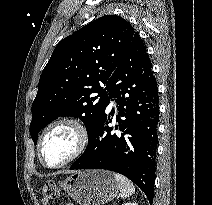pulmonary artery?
<instances>
[{
    "label": "pulmonary artery",
    "mask_w": 212,
    "mask_h": 205,
    "mask_svg": "<svg viewBox=\"0 0 212 205\" xmlns=\"http://www.w3.org/2000/svg\"><path fill=\"white\" fill-rule=\"evenodd\" d=\"M111 106H115V103H114V102H112V103H111Z\"/></svg>",
    "instance_id": "obj_1"
}]
</instances>
